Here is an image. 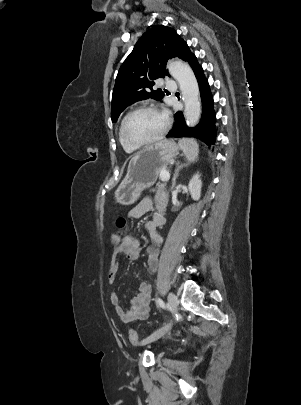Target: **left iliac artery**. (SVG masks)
Returning a JSON list of instances; mask_svg holds the SVG:
<instances>
[{"label":"left iliac artery","mask_w":301,"mask_h":405,"mask_svg":"<svg viewBox=\"0 0 301 405\" xmlns=\"http://www.w3.org/2000/svg\"><path fill=\"white\" fill-rule=\"evenodd\" d=\"M157 303H158V305H159L160 307L165 308V304H164V302H163V300H162L161 298H158V299H157Z\"/></svg>","instance_id":"1"}]
</instances>
